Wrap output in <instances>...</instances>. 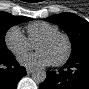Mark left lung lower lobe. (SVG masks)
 Wrapping results in <instances>:
<instances>
[{
  "label": "left lung lower lobe",
  "mask_w": 89,
  "mask_h": 89,
  "mask_svg": "<svg viewBox=\"0 0 89 89\" xmlns=\"http://www.w3.org/2000/svg\"><path fill=\"white\" fill-rule=\"evenodd\" d=\"M46 73L40 89H89V53L69 59L58 72Z\"/></svg>",
  "instance_id": "1"
}]
</instances>
